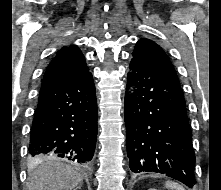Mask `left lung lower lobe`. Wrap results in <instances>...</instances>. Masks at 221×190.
<instances>
[{
    "instance_id": "0a47b994",
    "label": "left lung lower lobe",
    "mask_w": 221,
    "mask_h": 190,
    "mask_svg": "<svg viewBox=\"0 0 221 190\" xmlns=\"http://www.w3.org/2000/svg\"><path fill=\"white\" fill-rule=\"evenodd\" d=\"M129 68L124 108L130 169L193 187L195 154L180 83L138 59Z\"/></svg>"
}]
</instances>
